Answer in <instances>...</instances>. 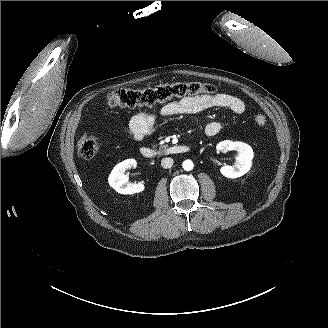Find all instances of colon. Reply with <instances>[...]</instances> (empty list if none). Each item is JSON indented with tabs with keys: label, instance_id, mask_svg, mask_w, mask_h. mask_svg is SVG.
Segmentation results:
<instances>
[{
	"label": "colon",
	"instance_id": "5ec220e1",
	"mask_svg": "<svg viewBox=\"0 0 328 328\" xmlns=\"http://www.w3.org/2000/svg\"><path fill=\"white\" fill-rule=\"evenodd\" d=\"M215 90L214 85L201 82H179L143 89L119 88L108 95L107 102L111 107L152 106L165 102L173 97L212 95L215 93ZM254 121L259 126H265L267 124L266 117L261 114L255 115ZM77 150L81 157L90 159L98 154L99 145L91 135L84 134L78 142Z\"/></svg>",
	"mask_w": 328,
	"mask_h": 328
}]
</instances>
